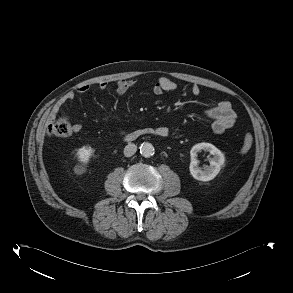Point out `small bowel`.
I'll return each instance as SVG.
<instances>
[{
	"label": "small bowel",
	"instance_id": "obj_1",
	"mask_svg": "<svg viewBox=\"0 0 293 293\" xmlns=\"http://www.w3.org/2000/svg\"><path fill=\"white\" fill-rule=\"evenodd\" d=\"M137 81L135 79L121 80L116 84L115 91L118 95H124L130 89L136 85ZM100 90H105L107 88V83L101 82L98 84ZM178 88L176 82L172 81L167 77H159L152 87V92L154 95H161L165 92L174 91ZM88 85H82L78 87L75 92L67 93L62 100L53 108L52 113H57L60 107L68 102L72 101L76 94H85L89 91ZM191 93L194 96H199L201 93L200 87L197 84L192 85ZM206 116L212 119V130L216 134H222L226 130L233 127L236 121V113L232 108L229 101H219L214 106L205 110ZM82 129L81 124L75 123L71 127L72 133H79ZM158 136L167 137L170 134V130L166 126H159L155 128Z\"/></svg>",
	"mask_w": 293,
	"mask_h": 293
}]
</instances>
